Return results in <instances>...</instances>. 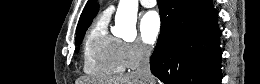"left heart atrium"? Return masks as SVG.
Wrapping results in <instances>:
<instances>
[{"mask_svg":"<svg viewBox=\"0 0 260 84\" xmlns=\"http://www.w3.org/2000/svg\"><path fill=\"white\" fill-rule=\"evenodd\" d=\"M161 21L156 11L146 12L140 20V34L146 44H153L159 34Z\"/></svg>","mask_w":260,"mask_h":84,"instance_id":"obj_1","label":"left heart atrium"}]
</instances>
